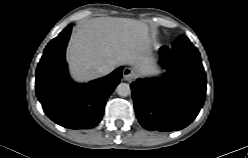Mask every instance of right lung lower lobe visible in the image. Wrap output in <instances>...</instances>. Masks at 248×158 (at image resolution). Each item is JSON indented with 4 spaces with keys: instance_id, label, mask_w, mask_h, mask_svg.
Returning <instances> with one entry per match:
<instances>
[{
    "instance_id": "98d812e1",
    "label": "right lung lower lobe",
    "mask_w": 248,
    "mask_h": 158,
    "mask_svg": "<svg viewBox=\"0 0 248 158\" xmlns=\"http://www.w3.org/2000/svg\"><path fill=\"white\" fill-rule=\"evenodd\" d=\"M71 29L72 24L46 46L36 70V95L55 123L70 129H90L102 119L106 101L120 82L123 67L87 84L74 83L65 62Z\"/></svg>"
}]
</instances>
